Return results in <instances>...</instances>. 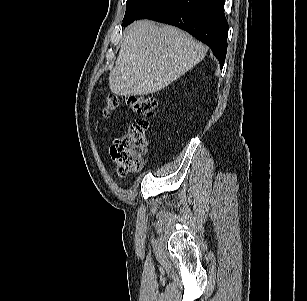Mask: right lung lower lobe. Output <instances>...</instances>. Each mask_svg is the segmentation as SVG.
Returning <instances> with one entry per match:
<instances>
[{
    "mask_svg": "<svg viewBox=\"0 0 307 301\" xmlns=\"http://www.w3.org/2000/svg\"><path fill=\"white\" fill-rule=\"evenodd\" d=\"M225 0H163L138 19H152L179 27L208 45L224 65L228 23Z\"/></svg>",
    "mask_w": 307,
    "mask_h": 301,
    "instance_id": "1",
    "label": "right lung lower lobe"
}]
</instances>
